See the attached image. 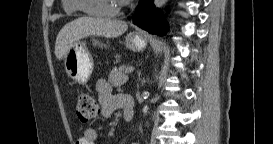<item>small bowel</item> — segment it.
Segmentation results:
<instances>
[{
    "instance_id": "small-bowel-1",
    "label": "small bowel",
    "mask_w": 273,
    "mask_h": 144,
    "mask_svg": "<svg viewBox=\"0 0 273 144\" xmlns=\"http://www.w3.org/2000/svg\"><path fill=\"white\" fill-rule=\"evenodd\" d=\"M96 90L101 104V113L104 117H111L115 112L122 109L119 103L120 95L112 93V87L107 80H99L96 84ZM97 138V131L89 127L84 130L83 135L76 140L75 144H95Z\"/></svg>"
}]
</instances>
